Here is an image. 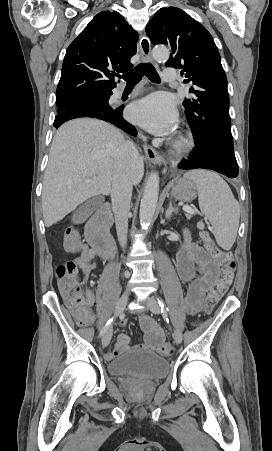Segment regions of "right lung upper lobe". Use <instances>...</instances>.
Returning <instances> with one entry per match:
<instances>
[{"label":"right lung upper lobe","instance_id":"1","mask_svg":"<svg viewBox=\"0 0 272 451\" xmlns=\"http://www.w3.org/2000/svg\"><path fill=\"white\" fill-rule=\"evenodd\" d=\"M137 40V32L118 12L97 14L66 51L56 99L111 93L114 71L133 67Z\"/></svg>","mask_w":272,"mask_h":451}]
</instances>
